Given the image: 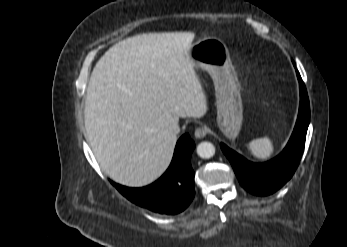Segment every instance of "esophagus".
<instances>
[{"label": "esophagus", "mask_w": 347, "mask_h": 247, "mask_svg": "<svg viewBox=\"0 0 347 247\" xmlns=\"http://www.w3.org/2000/svg\"><path fill=\"white\" fill-rule=\"evenodd\" d=\"M209 132V129L206 127H198L195 132L194 135L196 138L200 139V138H204L207 133Z\"/></svg>", "instance_id": "34e87169"}]
</instances>
